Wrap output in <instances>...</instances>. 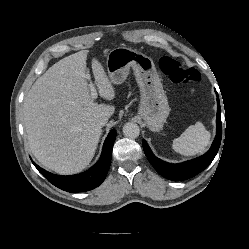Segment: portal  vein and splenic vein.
Listing matches in <instances>:
<instances>
[{"instance_id": "1", "label": "portal vein and splenic vein", "mask_w": 249, "mask_h": 249, "mask_svg": "<svg viewBox=\"0 0 249 249\" xmlns=\"http://www.w3.org/2000/svg\"><path fill=\"white\" fill-rule=\"evenodd\" d=\"M89 86H90V91H91V97L93 100H95L97 98L96 88L92 83H90Z\"/></svg>"}]
</instances>
